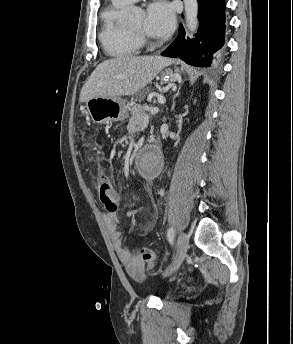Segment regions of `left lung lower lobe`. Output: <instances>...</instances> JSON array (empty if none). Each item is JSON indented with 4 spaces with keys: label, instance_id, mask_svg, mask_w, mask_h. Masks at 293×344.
I'll use <instances>...</instances> for the list:
<instances>
[{
    "label": "left lung lower lobe",
    "instance_id": "1",
    "mask_svg": "<svg viewBox=\"0 0 293 344\" xmlns=\"http://www.w3.org/2000/svg\"><path fill=\"white\" fill-rule=\"evenodd\" d=\"M198 4L200 25L195 38L186 40L180 25L177 38L161 55L179 57L193 66L209 67L224 44L225 3L224 0H198Z\"/></svg>",
    "mask_w": 293,
    "mask_h": 344
}]
</instances>
